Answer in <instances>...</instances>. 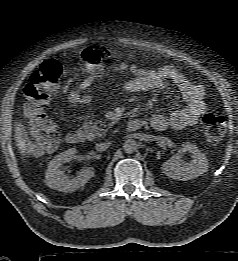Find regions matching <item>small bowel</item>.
Returning <instances> with one entry per match:
<instances>
[{"mask_svg":"<svg viewBox=\"0 0 238 261\" xmlns=\"http://www.w3.org/2000/svg\"><path fill=\"white\" fill-rule=\"evenodd\" d=\"M115 72H129L133 78L125 85L130 93H143L160 89L166 81L173 82L179 89L186 106L175 109L169 115L157 113L150 118V125L154 130L163 131L169 127L182 129L197 123L199 117L206 110L203 86L191 82L182 72L171 65H164L155 69H144L137 64L126 62L114 63ZM95 81V76L83 79L78 88L69 94V101L73 104L88 105L92 98L83 94Z\"/></svg>","mask_w":238,"mask_h":261,"instance_id":"obj_1","label":"small bowel"}]
</instances>
